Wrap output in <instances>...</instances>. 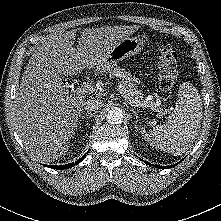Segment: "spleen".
I'll use <instances>...</instances> for the list:
<instances>
[{
	"mask_svg": "<svg viewBox=\"0 0 221 221\" xmlns=\"http://www.w3.org/2000/svg\"><path fill=\"white\" fill-rule=\"evenodd\" d=\"M202 102L198 90L189 82H184L178 90L175 110L164 125L153 131L141 130L145 140L156 149L174 156L185 153L193 144L202 119Z\"/></svg>",
	"mask_w": 221,
	"mask_h": 221,
	"instance_id": "1",
	"label": "spleen"
}]
</instances>
